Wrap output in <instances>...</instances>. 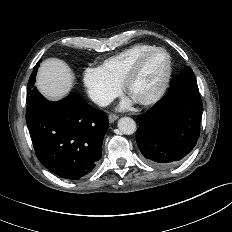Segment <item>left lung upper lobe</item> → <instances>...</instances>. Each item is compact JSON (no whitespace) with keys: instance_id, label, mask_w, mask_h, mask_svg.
<instances>
[{"instance_id":"obj_1","label":"left lung upper lobe","mask_w":232,"mask_h":232,"mask_svg":"<svg viewBox=\"0 0 232 232\" xmlns=\"http://www.w3.org/2000/svg\"><path fill=\"white\" fill-rule=\"evenodd\" d=\"M181 89L199 91L195 75L190 67L182 70L173 80Z\"/></svg>"}]
</instances>
